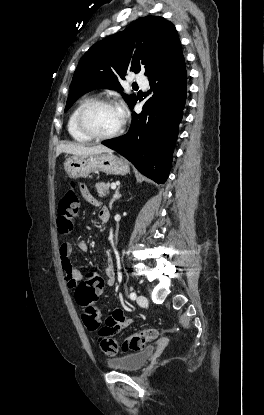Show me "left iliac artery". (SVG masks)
Instances as JSON below:
<instances>
[{
  "mask_svg": "<svg viewBox=\"0 0 264 415\" xmlns=\"http://www.w3.org/2000/svg\"><path fill=\"white\" fill-rule=\"evenodd\" d=\"M130 299L131 300H135L136 299V293L135 292H131L130 293Z\"/></svg>",
  "mask_w": 264,
  "mask_h": 415,
  "instance_id": "1",
  "label": "left iliac artery"
}]
</instances>
